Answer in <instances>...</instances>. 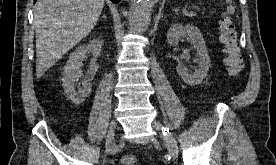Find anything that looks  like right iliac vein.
Segmentation results:
<instances>
[{
	"label": "right iliac vein",
	"mask_w": 276,
	"mask_h": 165,
	"mask_svg": "<svg viewBox=\"0 0 276 165\" xmlns=\"http://www.w3.org/2000/svg\"><path fill=\"white\" fill-rule=\"evenodd\" d=\"M116 128V123L114 121L110 124V131L107 136V151H111L115 148L114 144V130Z\"/></svg>",
	"instance_id": "63e3f726"
}]
</instances>
